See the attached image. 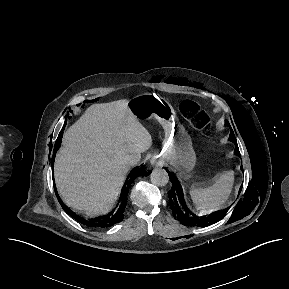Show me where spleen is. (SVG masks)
I'll use <instances>...</instances> for the list:
<instances>
[{
	"label": "spleen",
	"instance_id": "obj_1",
	"mask_svg": "<svg viewBox=\"0 0 289 289\" xmlns=\"http://www.w3.org/2000/svg\"><path fill=\"white\" fill-rule=\"evenodd\" d=\"M234 184V171H227L207 188L192 187L191 198L198 210L213 212L222 209L230 197Z\"/></svg>",
	"mask_w": 289,
	"mask_h": 289
}]
</instances>
